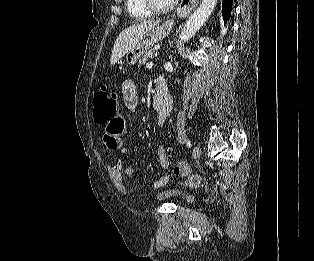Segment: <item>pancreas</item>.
I'll list each match as a JSON object with an SVG mask.
<instances>
[{
    "mask_svg": "<svg viewBox=\"0 0 314 261\" xmlns=\"http://www.w3.org/2000/svg\"><path fill=\"white\" fill-rule=\"evenodd\" d=\"M157 56V49L155 47L145 52L143 57L139 60V66L144 65L149 59H153Z\"/></svg>",
    "mask_w": 314,
    "mask_h": 261,
    "instance_id": "obj_1",
    "label": "pancreas"
}]
</instances>
